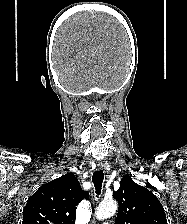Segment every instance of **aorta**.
Wrapping results in <instances>:
<instances>
[{
	"label": "aorta",
	"instance_id": "1",
	"mask_svg": "<svg viewBox=\"0 0 187 224\" xmlns=\"http://www.w3.org/2000/svg\"><path fill=\"white\" fill-rule=\"evenodd\" d=\"M117 210V203L116 201H108V202H102L97 210H96V217L97 219H106L115 214Z\"/></svg>",
	"mask_w": 187,
	"mask_h": 224
}]
</instances>
